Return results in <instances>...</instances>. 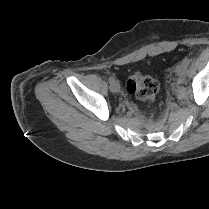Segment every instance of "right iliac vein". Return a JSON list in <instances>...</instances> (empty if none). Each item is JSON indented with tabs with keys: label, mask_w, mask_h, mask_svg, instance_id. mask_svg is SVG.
<instances>
[{
	"label": "right iliac vein",
	"mask_w": 209,
	"mask_h": 209,
	"mask_svg": "<svg viewBox=\"0 0 209 209\" xmlns=\"http://www.w3.org/2000/svg\"><path fill=\"white\" fill-rule=\"evenodd\" d=\"M110 90L114 93H117L120 90V84L117 80L110 84Z\"/></svg>",
	"instance_id": "63e3f726"
}]
</instances>
